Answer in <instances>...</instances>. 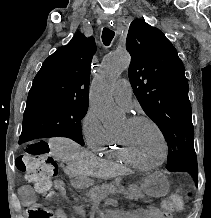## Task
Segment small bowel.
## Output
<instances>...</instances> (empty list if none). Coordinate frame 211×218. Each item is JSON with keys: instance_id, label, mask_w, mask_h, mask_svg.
<instances>
[{"instance_id": "1", "label": "small bowel", "mask_w": 211, "mask_h": 218, "mask_svg": "<svg viewBox=\"0 0 211 218\" xmlns=\"http://www.w3.org/2000/svg\"><path fill=\"white\" fill-rule=\"evenodd\" d=\"M54 189L58 193V195L62 198H65L66 196V189L65 185L61 180H55L54 181ZM19 194L22 198V200L26 204H31L33 203L35 196H34V191L31 187L29 186H23L19 190ZM77 214L80 213V209L76 211ZM55 217L56 218H69V215L67 212L63 209H57L55 211ZM138 218H172V215L170 212L166 210H161L152 206H148L143 209L138 210Z\"/></svg>"}]
</instances>
